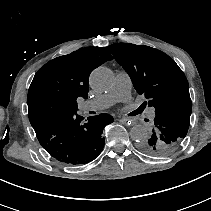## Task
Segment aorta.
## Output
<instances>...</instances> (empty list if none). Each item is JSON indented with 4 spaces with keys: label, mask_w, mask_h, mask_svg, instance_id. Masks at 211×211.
I'll list each match as a JSON object with an SVG mask.
<instances>
[{
    "label": "aorta",
    "mask_w": 211,
    "mask_h": 211,
    "mask_svg": "<svg viewBox=\"0 0 211 211\" xmlns=\"http://www.w3.org/2000/svg\"><path fill=\"white\" fill-rule=\"evenodd\" d=\"M113 80L114 75L110 69L98 67L90 76V85L96 91H105L111 87ZM130 136L134 141L142 142L149 138L150 132L146 126L136 124L131 128Z\"/></svg>",
    "instance_id": "obj_1"
}]
</instances>
